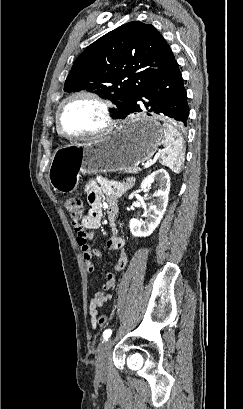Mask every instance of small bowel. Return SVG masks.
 <instances>
[{
    "mask_svg": "<svg viewBox=\"0 0 243 409\" xmlns=\"http://www.w3.org/2000/svg\"><path fill=\"white\" fill-rule=\"evenodd\" d=\"M134 183L135 180L133 178H127L122 182L99 180L90 181L88 183L86 192L90 208L84 215L81 225L91 231H86L84 236L77 235V243L80 247L82 257L89 273H94L96 270V265L92 262V257L95 256L98 259H101L100 252L91 249L88 242L94 237L92 230L99 228L101 224L102 208L103 206L106 207L111 227L113 230H115V221L118 215L117 203L125 192L133 187ZM103 195H105L104 200ZM73 224L75 226L74 222ZM107 245L110 250L117 254V259L114 264L115 271H123L128 263V256L125 251L124 240L113 235L108 240ZM106 276L107 281L97 292H95L89 304V313L92 317L93 328L96 327L97 309L104 306L109 300H111L112 295L109 293V291L114 287L117 280V275L113 272H108Z\"/></svg>",
    "mask_w": 243,
    "mask_h": 409,
    "instance_id": "obj_1",
    "label": "small bowel"
}]
</instances>
